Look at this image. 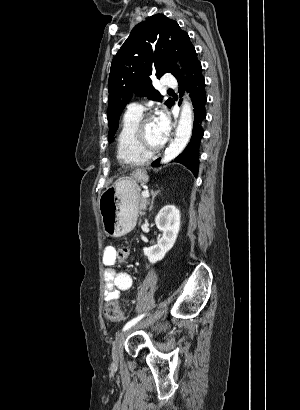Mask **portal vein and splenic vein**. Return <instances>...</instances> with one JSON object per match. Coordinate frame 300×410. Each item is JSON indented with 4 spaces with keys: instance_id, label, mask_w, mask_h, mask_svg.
I'll return each instance as SVG.
<instances>
[{
    "instance_id": "1",
    "label": "portal vein and splenic vein",
    "mask_w": 300,
    "mask_h": 410,
    "mask_svg": "<svg viewBox=\"0 0 300 410\" xmlns=\"http://www.w3.org/2000/svg\"><path fill=\"white\" fill-rule=\"evenodd\" d=\"M141 195H142L143 198H148L149 197V191L144 190V191H142Z\"/></svg>"
}]
</instances>
